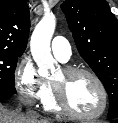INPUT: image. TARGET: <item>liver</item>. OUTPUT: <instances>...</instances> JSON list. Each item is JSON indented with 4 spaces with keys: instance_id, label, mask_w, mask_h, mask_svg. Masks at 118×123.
I'll list each match as a JSON object with an SVG mask.
<instances>
[{
    "instance_id": "6515ba94",
    "label": "liver",
    "mask_w": 118,
    "mask_h": 123,
    "mask_svg": "<svg viewBox=\"0 0 118 123\" xmlns=\"http://www.w3.org/2000/svg\"><path fill=\"white\" fill-rule=\"evenodd\" d=\"M0 123H53L52 120L30 118L19 110H9L0 103Z\"/></svg>"
}]
</instances>
